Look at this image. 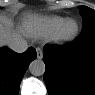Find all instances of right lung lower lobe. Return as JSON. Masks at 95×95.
<instances>
[{
    "mask_svg": "<svg viewBox=\"0 0 95 95\" xmlns=\"http://www.w3.org/2000/svg\"><path fill=\"white\" fill-rule=\"evenodd\" d=\"M36 56V51L32 47L21 54L8 48L0 50V95L18 94L20 81Z\"/></svg>",
    "mask_w": 95,
    "mask_h": 95,
    "instance_id": "1",
    "label": "right lung lower lobe"
}]
</instances>
